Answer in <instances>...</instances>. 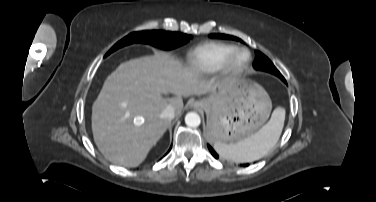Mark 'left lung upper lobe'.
<instances>
[{
  "instance_id": "5c2ea615",
  "label": "left lung upper lobe",
  "mask_w": 376,
  "mask_h": 202,
  "mask_svg": "<svg viewBox=\"0 0 376 202\" xmlns=\"http://www.w3.org/2000/svg\"><path fill=\"white\" fill-rule=\"evenodd\" d=\"M210 37L221 38V39H231V40H236V41L241 42V39L231 36V35H225V34H211ZM255 55H256V58H255L253 66L256 70H263V71L270 72L278 76L281 80L284 78L281 75V73L277 70V68L273 65V63L264 54H262L259 51H256Z\"/></svg>"
}]
</instances>
